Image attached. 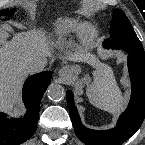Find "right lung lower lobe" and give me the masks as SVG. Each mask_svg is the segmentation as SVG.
<instances>
[{
	"label": "right lung lower lobe",
	"instance_id": "98d812e1",
	"mask_svg": "<svg viewBox=\"0 0 145 145\" xmlns=\"http://www.w3.org/2000/svg\"><path fill=\"white\" fill-rule=\"evenodd\" d=\"M50 72H41L30 76L23 87V101L27 112L22 119H8L0 113V145H19L35 132L40 101L50 81Z\"/></svg>",
	"mask_w": 145,
	"mask_h": 145
}]
</instances>
